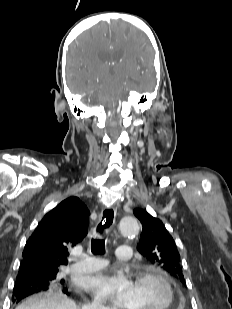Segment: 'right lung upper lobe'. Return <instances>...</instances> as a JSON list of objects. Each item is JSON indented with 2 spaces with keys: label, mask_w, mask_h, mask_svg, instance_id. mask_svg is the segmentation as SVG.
Segmentation results:
<instances>
[{
  "label": "right lung upper lobe",
  "mask_w": 232,
  "mask_h": 309,
  "mask_svg": "<svg viewBox=\"0 0 232 309\" xmlns=\"http://www.w3.org/2000/svg\"><path fill=\"white\" fill-rule=\"evenodd\" d=\"M89 210L77 197L62 201L48 212L29 237L19 271L37 274L67 265L68 249L87 235Z\"/></svg>",
  "instance_id": "right-lung-upper-lobe-1"
}]
</instances>
